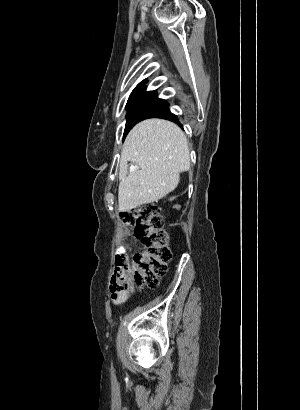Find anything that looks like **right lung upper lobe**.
Masks as SVG:
<instances>
[{
  "mask_svg": "<svg viewBox=\"0 0 300 410\" xmlns=\"http://www.w3.org/2000/svg\"><path fill=\"white\" fill-rule=\"evenodd\" d=\"M146 83V80H143L141 83H139L138 85H144Z\"/></svg>",
  "mask_w": 300,
  "mask_h": 410,
  "instance_id": "right-lung-upper-lobe-1",
  "label": "right lung upper lobe"
}]
</instances>
